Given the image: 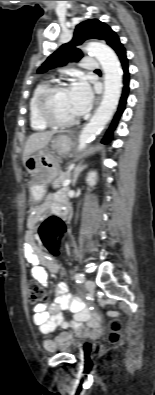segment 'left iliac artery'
Wrapping results in <instances>:
<instances>
[{
  "label": "left iliac artery",
  "instance_id": "obj_1",
  "mask_svg": "<svg viewBox=\"0 0 155 395\" xmlns=\"http://www.w3.org/2000/svg\"><path fill=\"white\" fill-rule=\"evenodd\" d=\"M74 278L77 283H83L85 281V277L82 273H76Z\"/></svg>",
  "mask_w": 155,
  "mask_h": 395
}]
</instances>
